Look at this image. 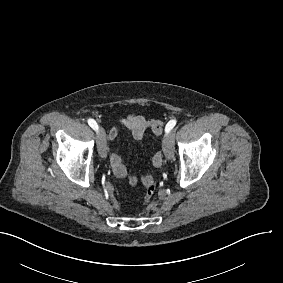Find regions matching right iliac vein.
Listing matches in <instances>:
<instances>
[{
  "instance_id": "63e3f726",
  "label": "right iliac vein",
  "mask_w": 283,
  "mask_h": 283,
  "mask_svg": "<svg viewBox=\"0 0 283 283\" xmlns=\"http://www.w3.org/2000/svg\"><path fill=\"white\" fill-rule=\"evenodd\" d=\"M99 132V154L102 158L107 156L106 134L103 128L98 129Z\"/></svg>"
}]
</instances>
